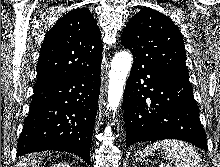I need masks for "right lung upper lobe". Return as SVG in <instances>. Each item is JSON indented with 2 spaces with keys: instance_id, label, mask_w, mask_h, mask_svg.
<instances>
[{
  "instance_id": "1",
  "label": "right lung upper lobe",
  "mask_w": 220,
  "mask_h": 167,
  "mask_svg": "<svg viewBox=\"0 0 220 167\" xmlns=\"http://www.w3.org/2000/svg\"><path fill=\"white\" fill-rule=\"evenodd\" d=\"M101 33L87 8L61 18L44 38L37 63L35 87L89 71L102 61Z\"/></svg>"
}]
</instances>
